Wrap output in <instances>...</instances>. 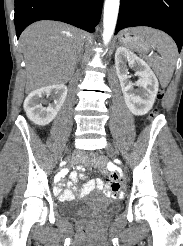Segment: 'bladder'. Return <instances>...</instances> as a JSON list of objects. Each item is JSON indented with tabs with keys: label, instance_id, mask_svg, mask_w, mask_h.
<instances>
[{
	"label": "bladder",
	"instance_id": "obj_1",
	"mask_svg": "<svg viewBox=\"0 0 183 246\" xmlns=\"http://www.w3.org/2000/svg\"><path fill=\"white\" fill-rule=\"evenodd\" d=\"M93 208L100 209L106 213H114L119 209V206L117 203L104 200L100 197H90L67 204L62 207L61 211L68 217L78 218L87 214Z\"/></svg>",
	"mask_w": 183,
	"mask_h": 246
}]
</instances>
